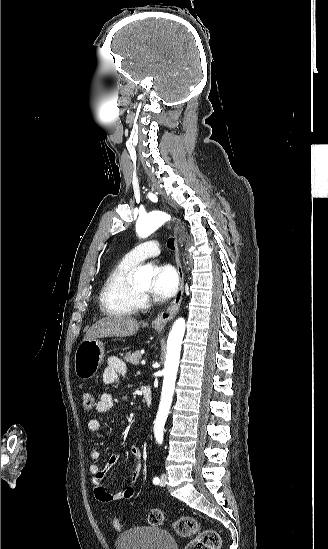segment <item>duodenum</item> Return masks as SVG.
Returning <instances> with one entry per match:
<instances>
[{"mask_svg":"<svg viewBox=\"0 0 328 549\" xmlns=\"http://www.w3.org/2000/svg\"><path fill=\"white\" fill-rule=\"evenodd\" d=\"M141 393H142V396L146 402L147 405H151L152 404V392H151V389L149 386H142L141 388Z\"/></svg>","mask_w":328,"mask_h":549,"instance_id":"duodenum-1","label":"duodenum"}]
</instances>
